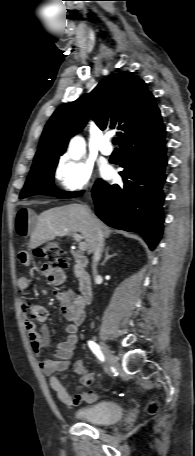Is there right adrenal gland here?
I'll use <instances>...</instances> for the list:
<instances>
[{"label": "right adrenal gland", "instance_id": "right-adrenal-gland-1", "mask_svg": "<svg viewBox=\"0 0 195 456\" xmlns=\"http://www.w3.org/2000/svg\"><path fill=\"white\" fill-rule=\"evenodd\" d=\"M109 250H110V247L108 246V247L105 249V258H104V260H103V264L106 263V261H108L110 258H112V257H114V256L117 255V253L110 255V254H109Z\"/></svg>", "mask_w": 195, "mask_h": 456}]
</instances>
